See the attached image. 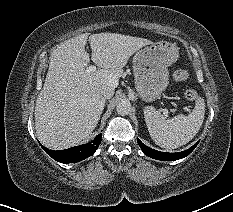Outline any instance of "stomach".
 I'll list each match as a JSON object with an SVG mask.
<instances>
[{
    "instance_id": "1",
    "label": "stomach",
    "mask_w": 233,
    "mask_h": 212,
    "mask_svg": "<svg viewBox=\"0 0 233 212\" xmlns=\"http://www.w3.org/2000/svg\"><path fill=\"white\" fill-rule=\"evenodd\" d=\"M179 57L174 43L160 41L142 49L134 58L135 86L146 102L154 101L168 86L169 71Z\"/></svg>"
}]
</instances>
